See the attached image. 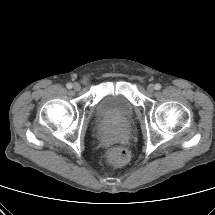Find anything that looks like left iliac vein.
<instances>
[{"instance_id": "left-iliac-vein-1", "label": "left iliac vein", "mask_w": 215, "mask_h": 215, "mask_svg": "<svg viewBox=\"0 0 215 215\" xmlns=\"http://www.w3.org/2000/svg\"><path fill=\"white\" fill-rule=\"evenodd\" d=\"M154 89H155V87H154V85H152V84L148 85V87H147V91H148L149 93H153V92H154Z\"/></svg>"}]
</instances>
